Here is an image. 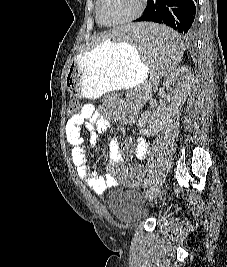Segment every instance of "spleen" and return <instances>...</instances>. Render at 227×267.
<instances>
[{
    "mask_svg": "<svg viewBox=\"0 0 227 267\" xmlns=\"http://www.w3.org/2000/svg\"><path fill=\"white\" fill-rule=\"evenodd\" d=\"M116 30V43L137 47L140 58L150 63L149 77H174L184 51L175 31L160 22H122Z\"/></svg>",
    "mask_w": 227,
    "mask_h": 267,
    "instance_id": "3e777b00",
    "label": "spleen"
}]
</instances>
